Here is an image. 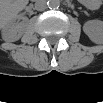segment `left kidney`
Segmentation results:
<instances>
[{
  "mask_svg": "<svg viewBox=\"0 0 103 103\" xmlns=\"http://www.w3.org/2000/svg\"><path fill=\"white\" fill-rule=\"evenodd\" d=\"M84 33L89 39L96 43L101 44L103 42V22L100 20H90L83 25Z\"/></svg>",
  "mask_w": 103,
  "mask_h": 103,
  "instance_id": "obj_1",
  "label": "left kidney"
}]
</instances>
